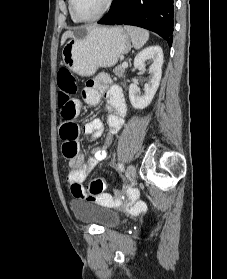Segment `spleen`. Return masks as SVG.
<instances>
[{
	"instance_id": "3e777b00",
	"label": "spleen",
	"mask_w": 227,
	"mask_h": 279,
	"mask_svg": "<svg viewBox=\"0 0 227 279\" xmlns=\"http://www.w3.org/2000/svg\"><path fill=\"white\" fill-rule=\"evenodd\" d=\"M124 29L130 35L135 49H140L144 46L149 38V32L133 26H124Z\"/></svg>"
}]
</instances>
